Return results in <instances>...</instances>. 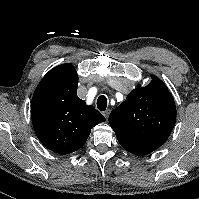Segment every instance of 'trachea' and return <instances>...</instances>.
<instances>
[{"label":"trachea","mask_w":199,"mask_h":199,"mask_svg":"<svg viewBox=\"0 0 199 199\" xmlns=\"http://www.w3.org/2000/svg\"><path fill=\"white\" fill-rule=\"evenodd\" d=\"M107 107V98L104 95H101L97 99V108L100 111H105Z\"/></svg>","instance_id":"trachea-1"}]
</instances>
